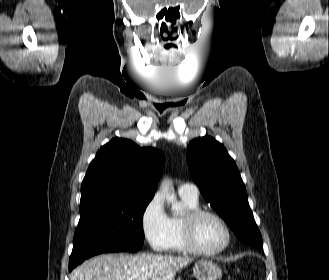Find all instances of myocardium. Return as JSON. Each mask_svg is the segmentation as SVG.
<instances>
[{"label":"myocardium","instance_id":"1","mask_svg":"<svg viewBox=\"0 0 329 280\" xmlns=\"http://www.w3.org/2000/svg\"><path fill=\"white\" fill-rule=\"evenodd\" d=\"M204 216L216 219L222 225L226 234L224 244L213 251L202 249L196 240V225L199 219ZM182 238L187 251L190 253L203 257H215L224 253L229 248L233 235L228 223L219 213L210 209L196 208L186 211L182 217Z\"/></svg>","mask_w":329,"mask_h":280}]
</instances>
